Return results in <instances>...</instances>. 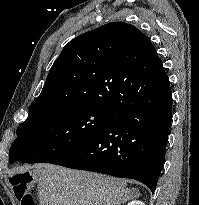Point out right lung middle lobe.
Here are the masks:
<instances>
[{
  "label": "right lung middle lobe",
  "mask_w": 199,
  "mask_h": 205,
  "mask_svg": "<svg viewBox=\"0 0 199 205\" xmlns=\"http://www.w3.org/2000/svg\"><path fill=\"white\" fill-rule=\"evenodd\" d=\"M112 118V111L89 105L30 108L26 121L17 128L9 162H51L89 141Z\"/></svg>",
  "instance_id": "obj_1"
}]
</instances>
